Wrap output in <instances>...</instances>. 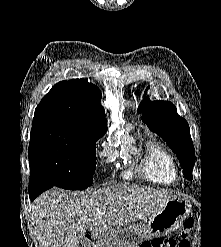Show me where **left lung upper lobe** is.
<instances>
[{
    "mask_svg": "<svg viewBox=\"0 0 221 247\" xmlns=\"http://www.w3.org/2000/svg\"><path fill=\"white\" fill-rule=\"evenodd\" d=\"M152 132L159 135L176 153L183 174L192 180L195 152L187 121L177 114L176 107L169 101H150L145 98L137 109Z\"/></svg>",
    "mask_w": 221,
    "mask_h": 247,
    "instance_id": "left-lung-upper-lobe-1",
    "label": "left lung upper lobe"
}]
</instances>
